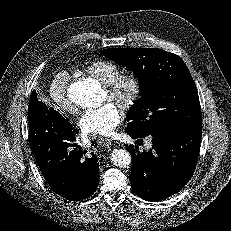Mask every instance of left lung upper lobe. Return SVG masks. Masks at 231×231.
<instances>
[{"label": "left lung upper lobe", "mask_w": 231, "mask_h": 231, "mask_svg": "<svg viewBox=\"0 0 231 231\" xmlns=\"http://www.w3.org/2000/svg\"><path fill=\"white\" fill-rule=\"evenodd\" d=\"M102 54L140 81L141 97L128 112L126 131L146 136L202 126L198 92L179 56L159 48H109Z\"/></svg>", "instance_id": "left-lung-upper-lobe-1"}]
</instances>
